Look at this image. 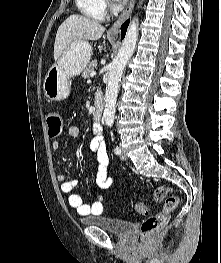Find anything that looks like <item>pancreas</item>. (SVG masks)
Segmentation results:
<instances>
[{
  "mask_svg": "<svg viewBox=\"0 0 221 263\" xmlns=\"http://www.w3.org/2000/svg\"><path fill=\"white\" fill-rule=\"evenodd\" d=\"M96 67H97V61L96 60L91 61L88 67L83 71L82 77L84 79H88L90 77V74L95 71Z\"/></svg>",
  "mask_w": 221,
  "mask_h": 263,
  "instance_id": "1",
  "label": "pancreas"
}]
</instances>
